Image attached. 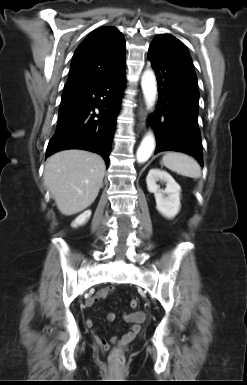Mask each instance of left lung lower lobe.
<instances>
[{
	"label": "left lung lower lobe",
	"mask_w": 247,
	"mask_h": 385,
	"mask_svg": "<svg viewBox=\"0 0 247 385\" xmlns=\"http://www.w3.org/2000/svg\"><path fill=\"white\" fill-rule=\"evenodd\" d=\"M148 59L155 70L159 100L153 122L161 151H180L194 156L203 165L198 126L199 90L191 58L174 36L163 34L151 43Z\"/></svg>",
	"instance_id": "0a47b994"
}]
</instances>
